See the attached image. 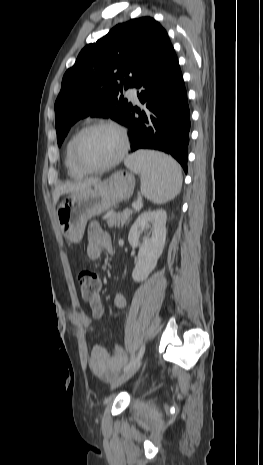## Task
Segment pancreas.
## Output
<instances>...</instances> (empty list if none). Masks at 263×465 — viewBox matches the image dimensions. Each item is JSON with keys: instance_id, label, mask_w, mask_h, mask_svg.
I'll list each match as a JSON object with an SVG mask.
<instances>
[{"instance_id": "pancreas-1", "label": "pancreas", "mask_w": 263, "mask_h": 465, "mask_svg": "<svg viewBox=\"0 0 263 465\" xmlns=\"http://www.w3.org/2000/svg\"><path fill=\"white\" fill-rule=\"evenodd\" d=\"M135 211L132 209H125L122 212H117L111 215L109 218H107V225L108 227H122L126 224L127 221H129L130 217Z\"/></svg>"}]
</instances>
